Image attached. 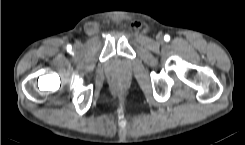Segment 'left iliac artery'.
<instances>
[{
  "instance_id": "obj_1",
  "label": "left iliac artery",
  "mask_w": 245,
  "mask_h": 145,
  "mask_svg": "<svg viewBox=\"0 0 245 145\" xmlns=\"http://www.w3.org/2000/svg\"><path fill=\"white\" fill-rule=\"evenodd\" d=\"M164 40H165V41H169V40H170V36L166 34V35L164 36Z\"/></svg>"
}]
</instances>
